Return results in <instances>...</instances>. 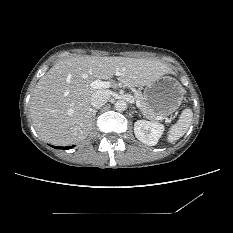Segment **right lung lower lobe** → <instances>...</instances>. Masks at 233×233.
Segmentation results:
<instances>
[{
    "instance_id": "1",
    "label": "right lung lower lobe",
    "mask_w": 233,
    "mask_h": 233,
    "mask_svg": "<svg viewBox=\"0 0 233 233\" xmlns=\"http://www.w3.org/2000/svg\"><path fill=\"white\" fill-rule=\"evenodd\" d=\"M73 146H70V147H56V146H54V148H57V149H59V148H62V149H70V148H72Z\"/></svg>"
}]
</instances>
